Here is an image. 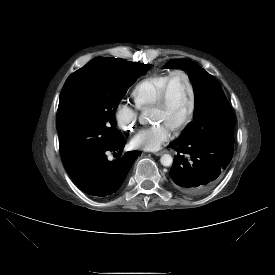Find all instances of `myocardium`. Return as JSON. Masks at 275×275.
I'll return each mask as SVG.
<instances>
[{
    "label": "myocardium",
    "mask_w": 275,
    "mask_h": 275,
    "mask_svg": "<svg viewBox=\"0 0 275 275\" xmlns=\"http://www.w3.org/2000/svg\"><path fill=\"white\" fill-rule=\"evenodd\" d=\"M179 75L182 76L186 81V84L189 89L190 100H189V106H188L187 113H186L185 117L179 123H177L175 125V127L173 128L175 130H181L184 127H186L191 122V120L194 116L195 109H196V90H195V87H194V84H193V81H192L190 75L186 71L181 70V69H176V70H173L172 72H170L164 86L162 87V89L160 91V94H159L156 102L153 105V108H161L167 104L172 80L174 79V77L179 76Z\"/></svg>",
    "instance_id": "f54148a6"
}]
</instances>
